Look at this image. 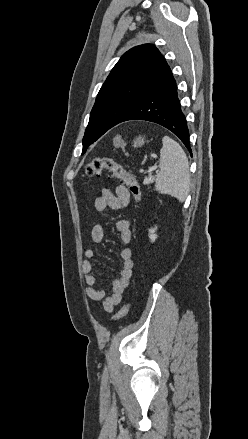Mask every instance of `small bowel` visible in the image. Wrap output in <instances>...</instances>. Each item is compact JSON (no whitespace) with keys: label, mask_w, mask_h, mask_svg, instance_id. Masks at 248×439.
<instances>
[{"label":"small bowel","mask_w":248,"mask_h":439,"mask_svg":"<svg viewBox=\"0 0 248 439\" xmlns=\"http://www.w3.org/2000/svg\"><path fill=\"white\" fill-rule=\"evenodd\" d=\"M130 201V193L128 189L119 185L115 191L104 188L100 196L94 201V207L97 211L103 212L107 208L119 210L126 207ZM116 230L119 233L120 240L123 244H129L132 240V232L130 229V222L125 218L116 221ZM104 239V228L101 224H96L91 230V240L95 244H99ZM85 260L82 263V272L84 273V282L87 286V297L100 304L106 312H113L115 307L121 302L122 295L130 283L134 262L132 260V251L128 247H124L120 251V258L122 260V270L119 277L112 282L111 293L107 295L103 289H96L94 286L97 283V278L93 274L94 264L92 262L95 257V250L88 248L84 252Z\"/></svg>","instance_id":"c3829d8e"}]
</instances>
